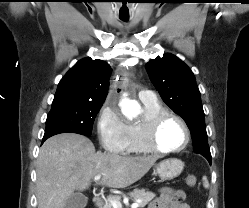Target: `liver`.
Here are the masks:
<instances>
[{
  "label": "liver",
  "mask_w": 249,
  "mask_h": 208,
  "mask_svg": "<svg viewBox=\"0 0 249 208\" xmlns=\"http://www.w3.org/2000/svg\"><path fill=\"white\" fill-rule=\"evenodd\" d=\"M157 159L96 152L93 143L80 134L52 136L37 158L38 208H65L74 191L87 189L97 175L102 176L99 185L126 188L140 180Z\"/></svg>",
  "instance_id": "liver-1"
}]
</instances>
